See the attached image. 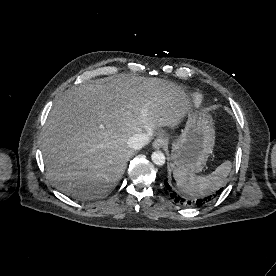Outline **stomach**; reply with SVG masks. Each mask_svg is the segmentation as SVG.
<instances>
[{"mask_svg": "<svg viewBox=\"0 0 276 276\" xmlns=\"http://www.w3.org/2000/svg\"><path fill=\"white\" fill-rule=\"evenodd\" d=\"M215 143L212 118L207 113H190L184 130L172 145L170 156L174 170L187 173L202 171Z\"/></svg>", "mask_w": 276, "mask_h": 276, "instance_id": "obj_1", "label": "stomach"}]
</instances>
